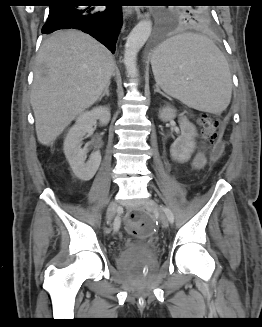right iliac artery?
Wrapping results in <instances>:
<instances>
[{"label":"right iliac artery","instance_id":"obj_1","mask_svg":"<svg viewBox=\"0 0 262 327\" xmlns=\"http://www.w3.org/2000/svg\"><path fill=\"white\" fill-rule=\"evenodd\" d=\"M120 227V219L118 217L115 218L113 223V229L114 231H118Z\"/></svg>","mask_w":262,"mask_h":327}]
</instances>
